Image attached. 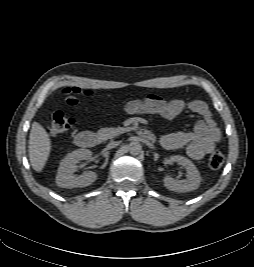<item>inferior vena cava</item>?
I'll list each match as a JSON object with an SVG mask.
<instances>
[{
	"label": "inferior vena cava",
	"instance_id": "obj_1",
	"mask_svg": "<svg viewBox=\"0 0 254 267\" xmlns=\"http://www.w3.org/2000/svg\"><path fill=\"white\" fill-rule=\"evenodd\" d=\"M117 145H118L117 142H111V143H109V144L107 145V148H108V149H112V148L116 147Z\"/></svg>",
	"mask_w": 254,
	"mask_h": 267
}]
</instances>
